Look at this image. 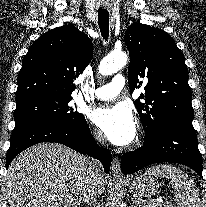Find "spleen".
<instances>
[{"mask_svg": "<svg viewBox=\"0 0 206 207\" xmlns=\"http://www.w3.org/2000/svg\"><path fill=\"white\" fill-rule=\"evenodd\" d=\"M145 175L170 179L177 207H201L199 191L194 181L179 168L168 164L156 165L148 168Z\"/></svg>", "mask_w": 206, "mask_h": 207, "instance_id": "obj_1", "label": "spleen"}]
</instances>
